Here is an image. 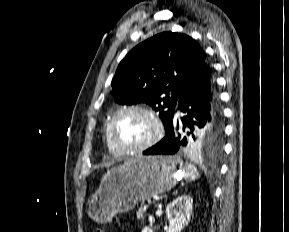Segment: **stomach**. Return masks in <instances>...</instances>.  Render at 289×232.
I'll use <instances>...</instances> for the list:
<instances>
[{
    "mask_svg": "<svg viewBox=\"0 0 289 232\" xmlns=\"http://www.w3.org/2000/svg\"><path fill=\"white\" fill-rule=\"evenodd\" d=\"M177 163L175 157L141 156L110 170L88 202L89 217L107 223L139 201L170 190L177 183Z\"/></svg>",
    "mask_w": 289,
    "mask_h": 232,
    "instance_id": "1",
    "label": "stomach"
}]
</instances>
